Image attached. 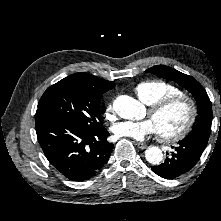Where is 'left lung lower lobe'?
<instances>
[{
  "instance_id": "0a47b994",
  "label": "left lung lower lobe",
  "mask_w": 221,
  "mask_h": 221,
  "mask_svg": "<svg viewBox=\"0 0 221 221\" xmlns=\"http://www.w3.org/2000/svg\"><path fill=\"white\" fill-rule=\"evenodd\" d=\"M209 136L210 131L189 134L179 142V145L175 147L174 152L166 158L164 163L151 167V169L165 179H174L185 175L200 159Z\"/></svg>"
}]
</instances>
